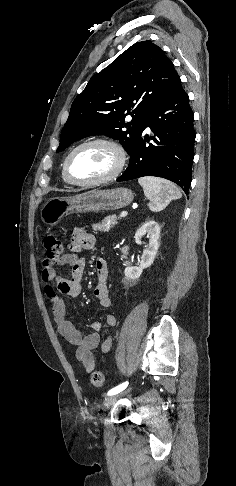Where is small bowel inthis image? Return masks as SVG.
Wrapping results in <instances>:
<instances>
[{"mask_svg":"<svg viewBox=\"0 0 236 486\" xmlns=\"http://www.w3.org/2000/svg\"><path fill=\"white\" fill-rule=\"evenodd\" d=\"M96 244V237L81 227L73 230L70 242L71 252L63 255L57 261H43L41 273L44 282V292L49 300L54 321L57 324L59 333L75 347V357L86 372H92L96 367L93 351L100 347L101 352L106 354L110 351L112 337L110 333L101 342L99 331L101 325H93L94 331L84 334L79 331L71 321L66 319V304L62 296L71 298L77 297L81 292V280L85 270V259L78 256V253L92 249ZM68 265L71 268V278L66 279L57 275L55 267ZM97 285L93 294L99 305L103 308L110 306L109 291L107 287L108 266L104 259L96 260ZM52 283H55L56 289ZM107 327L116 324V317L109 313L105 316Z\"/></svg>","mask_w":236,"mask_h":486,"instance_id":"small-bowel-1","label":"small bowel"}]
</instances>
